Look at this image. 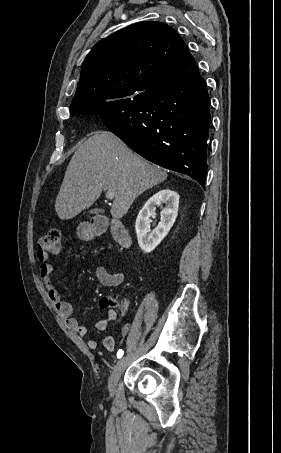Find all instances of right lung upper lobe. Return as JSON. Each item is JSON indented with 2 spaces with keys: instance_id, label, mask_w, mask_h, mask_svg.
Here are the masks:
<instances>
[{
  "instance_id": "right-lung-upper-lobe-1",
  "label": "right lung upper lobe",
  "mask_w": 281,
  "mask_h": 453,
  "mask_svg": "<svg viewBox=\"0 0 281 453\" xmlns=\"http://www.w3.org/2000/svg\"><path fill=\"white\" fill-rule=\"evenodd\" d=\"M196 62L170 26L144 21L99 41L86 56L71 115L135 96L190 71Z\"/></svg>"
}]
</instances>
